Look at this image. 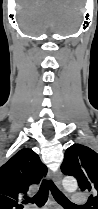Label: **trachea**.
Wrapping results in <instances>:
<instances>
[{"instance_id": "1", "label": "trachea", "mask_w": 98, "mask_h": 209, "mask_svg": "<svg viewBox=\"0 0 98 209\" xmlns=\"http://www.w3.org/2000/svg\"><path fill=\"white\" fill-rule=\"evenodd\" d=\"M49 190L51 191L54 199L64 208H72L75 205L55 186L52 180H43L38 193L32 197L27 198L26 203H35L38 207L43 206L48 199Z\"/></svg>"}]
</instances>
